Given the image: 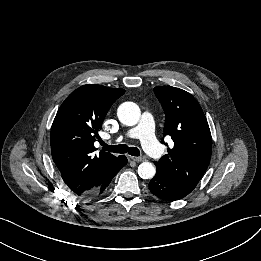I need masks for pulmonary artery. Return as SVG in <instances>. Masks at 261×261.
<instances>
[{
  "mask_svg": "<svg viewBox=\"0 0 261 261\" xmlns=\"http://www.w3.org/2000/svg\"><path fill=\"white\" fill-rule=\"evenodd\" d=\"M124 138L140 139L144 150L154 158H159L162 154L155 137L154 117L148 110L142 113L140 122L137 126L130 128L117 137L118 140H123Z\"/></svg>",
  "mask_w": 261,
  "mask_h": 261,
  "instance_id": "pulmonary-artery-1",
  "label": "pulmonary artery"
}]
</instances>
